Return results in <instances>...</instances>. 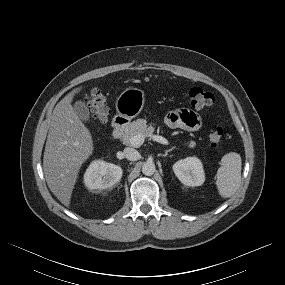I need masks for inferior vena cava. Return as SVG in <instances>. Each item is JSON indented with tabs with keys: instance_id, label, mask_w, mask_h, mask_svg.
I'll return each instance as SVG.
<instances>
[{
	"instance_id": "602c4592",
	"label": "inferior vena cava",
	"mask_w": 285,
	"mask_h": 285,
	"mask_svg": "<svg viewBox=\"0 0 285 285\" xmlns=\"http://www.w3.org/2000/svg\"><path fill=\"white\" fill-rule=\"evenodd\" d=\"M123 154L125 158L131 161H135L139 159V153L134 148L127 147L124 149Z\"/></svg>"
}]
</instances>
